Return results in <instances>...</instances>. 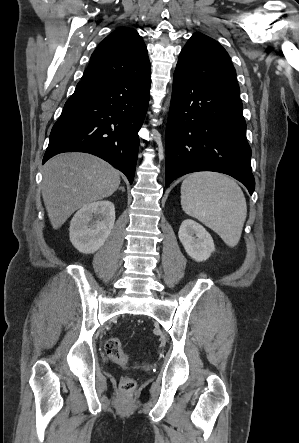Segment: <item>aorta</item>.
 I'll return each instance as SVG.
<instances>
[{
	"label": "aorta",
	"instance_id": "762f6f07",
	"mask_svg": "<svg viewBox=\"0 0 299 443\" xmlns=\"http://www.w3.org/2000/svg\"><path fill=\"white\" fill-rule=\"evenodd\" d=\"M169 103H170V98L167 100V102H166V106L163 108L164 111L167 110V107H168Z\"/></svg>",
	"mask_w": 299,
	"mask_h": 443
}]
</instances>
